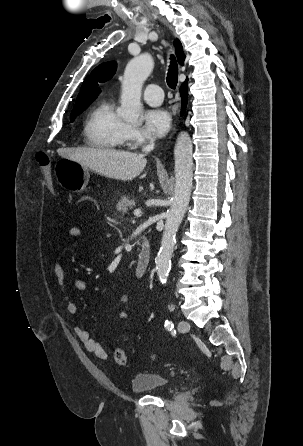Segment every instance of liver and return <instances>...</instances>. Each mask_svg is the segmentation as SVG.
<instances>
[{"mask_svg": "<svg viewBox=\"0 0 303 446\" xmlns=\"http://www.w3.org/2000/svg\"><path fill=\"white\" fill-rule=\"evenodd\" d=\"M57 152L101 176L122 181L136 178L147 164L143 154L114 149L65 148Z\"/></svg>", "mask_w": 303, "mask_h": 446, "instance_id": "liver-1", "label": "liver"}]
</instances>
